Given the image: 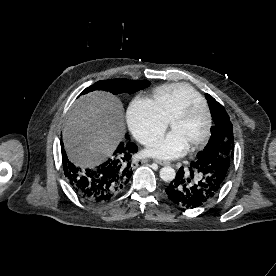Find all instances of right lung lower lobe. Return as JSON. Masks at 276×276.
<instances>
[{"mask_svg": "<svg viewBox=\"0 0 276 276\" xmlns=\"http://www.w3.org/2000/svg\"><path fill=\"white\" fill-rule=\"evenodd\" d=\"M63 170L74 191L84 200L102 203L111 200L128 185L133 174L131 157L137 145L121 142L112 157L95 168H79L67 159L63 149Z\"/></svg>", "mask_w": 276, "mask_h": 276, "instance_id": "1", "label": "right lung lower lobe"}]
</instances>
